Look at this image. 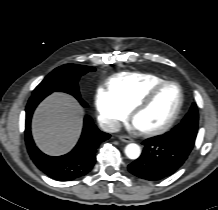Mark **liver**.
Returning <instances> with one entry per match:
<instances>
[{
  "label": "liver",
  "instance_id": "liver-1",
  "mask_svg": "<svg viewBox=\"0 0 218 210\" xmlns=\"http://www.w3.org/2000/svg\"><path fill=\"white\" fill-rule=\"evenodd\" d=\"M83 109L62 92L48 96L36 109L32 134L37 146L49 155L67 153L76 144L82 128Z\"/></svg>",
  "mask_w": 218,
  "mask_h": 210
}]
</instances>
